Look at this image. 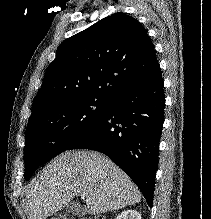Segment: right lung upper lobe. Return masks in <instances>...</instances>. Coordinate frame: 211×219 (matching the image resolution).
<instances>
[{
    "instance_id": "obj_1",
    "label": "right lung upper lobe",
    "mask_w": 211,
    "mask_h": 219,
    "mask_svg": "<svg viewBox=\"0 0 211 219\" xmlns=\"http://www.w3.org/2000/svg\"><path fill=\"white\" fill-rule=\"evenodd\" d=\"M158 61L146 30L122 12L63 41L35 96L29 120L75 100H112L145 79Z\"/></svg>"
}]
</instances>
